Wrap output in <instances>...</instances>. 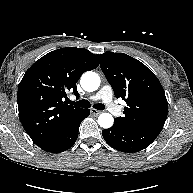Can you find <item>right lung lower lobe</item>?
Instances as JSON below:
<instances>
[{
  "label": "right lung lower lobe",
  "mask_w": 193,
  "mask_h": 193,
  "mask_svg": "<svg viewBox=\"0 0 193 193\" xmlns=\"http://www.w3.org/2000/svg\"><path fill=\"white\" fill-rule=\"evenodd\" d=\"M89 114V109H83L57 136L40 146V148L51 153H59L69 149L77 140L82 120L88 117Z\"/></svg>",
  "instance_id": "1"
}]
</instances>
